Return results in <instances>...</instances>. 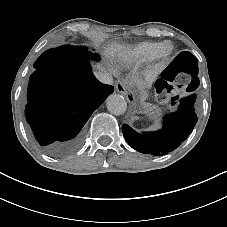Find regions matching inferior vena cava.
Returning <instances> with one entry per match:
<instances>
[{
	"label": "inferior vena cava",
	"mask_w": 227,
	"mask_h": 227,
	"mask_svg": "<svg viewBox=\"0 0 227 227\" xmlns=\"http://www.w3.org/2000/svg\"><path fill=\"white\" fill-rule=\"evenodd\" d=\"M95 76L97 78V80L103 84H107V85H113V79L112 77H110L107 73L105 72H96Z\"/></svg>",
	"instance_id": "1"
}]
</instances>
